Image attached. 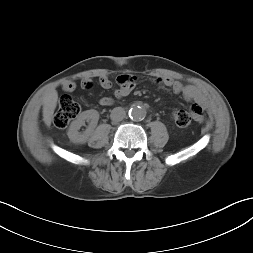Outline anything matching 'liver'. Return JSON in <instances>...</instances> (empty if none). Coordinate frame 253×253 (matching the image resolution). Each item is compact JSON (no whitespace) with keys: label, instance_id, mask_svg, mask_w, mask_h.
I'll return each instance as SVG.
<instances>
[{"label":"liver","instance_id":"obj_1","mask_svg":"<svg viewBox=\"0 0 253 253\" xmlns=\"http://www.w3.org/2000/svg\"><path fill=\"white\" fill-rule=\"evenodd\" d=\"M58 93L55 89L50 90L43 101V121L47 127H50L53 113L57 106Z\"/></svg>","mask_w":253,"mask_h":253}]
</instances>
